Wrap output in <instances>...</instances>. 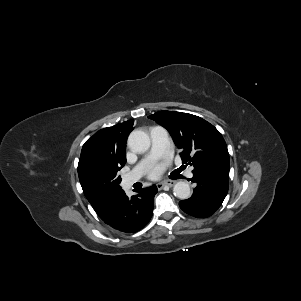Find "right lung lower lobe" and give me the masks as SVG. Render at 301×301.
<instances>
[{
  "label": "right lung lower lobe",
  "instance_id": "1",
  "mask_svg": "<svg viewBox=\"0 0 301 301\" xmlns=\"http://www.w3.org/2000/svg\"><path fill=\"white\" fill-rule=\"evenodd\" d=\"M138 194L128 198L122 190L118 199L101 219L114 229L126 233H135L142 229L153 214V198L157 187L152 185L140 189Z\"/></svg>",
  "mask_w": 301,
  "mask_h": 301
}]
</instances>
